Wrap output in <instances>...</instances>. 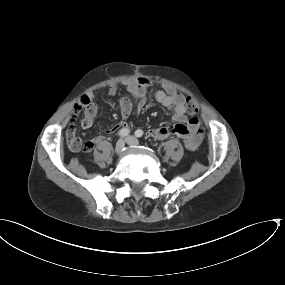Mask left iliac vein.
Here are the masks:
<instances>
[{
  "mask_svg": "<svg viewBox=\"0 0 285 285\" xmlns=\"http://www.w3.org/2000/svg\"><path fill=\"white\" fill-rule=\"evenodd\" d=\"M125 141L130 146H138L139 145V141L137 140V138H135L133 136L126 137Z\"/></svg>",
  "mask_w": 285,
  "mask_h": 285,
  "instance_id": "obj_1",
  "label": "left iliac vein"
}]
</instances>
